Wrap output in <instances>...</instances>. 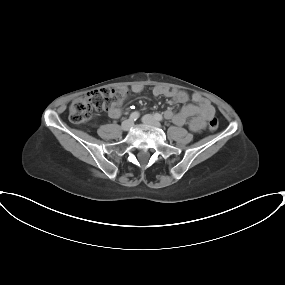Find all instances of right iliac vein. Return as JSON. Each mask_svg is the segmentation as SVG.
I'll use <instances>...</instances> for the list:
<instances>
[{
    "mask_svg": "<svg viewBox=\"0 0 285 285\" xmlns=\"http://www.w3.org/2000/svg\"><path fill=\"white\" fill-rule=\"evenodd\" d=\"M133 121L132 120H125L121 124V129L124 131H128L132 126H133Z\"/></svg>",
    "mask_w": 285,
    "mask_h": 285,
    "instance_id": "right-iliac-vein-1",
    "label": "right iliac vein"
}]
</instances>
